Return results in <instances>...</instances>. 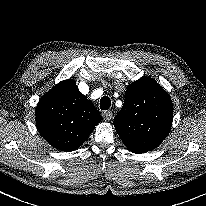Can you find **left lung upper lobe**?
Instances as JSON below:
<instances>
[{
	"mask_svg": "<svg viewBox=\"0 0 206 206\" xmlns=\"http://www.w3.org/2000/svg\"><path fill=\"white\" fill-rule=\"evenodd\" d=\"M172 120L170 96L156 81L144 76L127 87L124 105L113 124L131 152L145 153L168 136Z\"/></svg>",
	"mask_w": 206,
	"mask_h": 206,
	"instance_id": "left-lung-upper-lobe-1",
	"label": "left lung upper lobe"
}]
</instances>
